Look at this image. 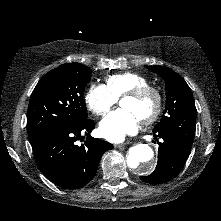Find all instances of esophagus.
I'll use <instances>...</instances> for the list:
<instances>
[{"label":"esophagus","instance_id":"1","mask_svg":"<svg viewBox=\"0 0 221 221\" xmlns=\"http://www.w3.org/2000/svg\"><path fill=\"white\" fill-rule=\"evenodd\" d=\"M127 144H129V142H125V143H122V144H115L114 147L120 149V148L124 147Z\"/></svg>","mask_w":221,"mask_h":221}]
</instances>
